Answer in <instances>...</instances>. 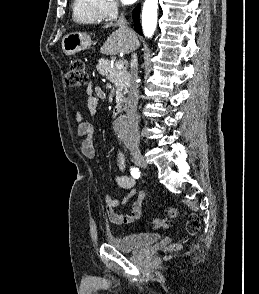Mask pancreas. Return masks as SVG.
Masks as SVG:
<instances>
[{
	"instance_id": "1",
	"label": "pancreas",
	"mask_w": 259,
	"mask_h": 294,
	"mask_svg": "<svg viewBox=\"0 0 259 294\" xmlns=\"http://www.w3.org/2000/svg\"><path fill=\"white\" fill-rule=\"evenodd\" d=\"M97 70L115 85L116 103L118 105L123 104V97L127 94L129 86V74L127 70L125 68L119 70L116 68V65L112 67L106 59H100L98 61Z\"/></svg>"
}]
</instances>
